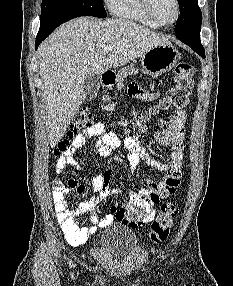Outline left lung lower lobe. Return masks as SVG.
<instances>
[{"instance_id":"left-lung-lower-lobe-1","label":"left lung lower lobe","mask_w":233,"mask_h":286,"mask_svg":"<svg viewBox=\"0 0 233 286\" xmlns=\"http://www.w3.org/2000/svg\"><path fill=\"white\" fill-rule=\"evenodd\" d=\"M200 29L201 27L189 29L183 33L177 34L176 37L183 43L190 46L201 57L205 58V51L200 42Z\"/></svg>"}]
</instances>
